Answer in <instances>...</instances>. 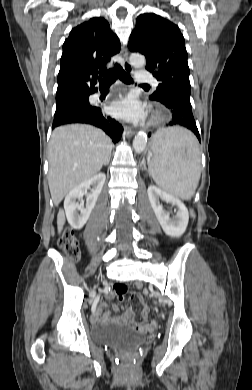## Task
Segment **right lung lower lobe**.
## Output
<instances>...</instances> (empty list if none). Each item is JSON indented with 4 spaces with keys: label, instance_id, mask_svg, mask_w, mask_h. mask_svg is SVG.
<instances>
[{
    "label": "right lung lower lobe",
    "instance_id": "right-lung-lower-lobe-1",
    "mask_svg": "<svg viewBox=\"0 0 252 390\" xmlns=\"http://www.w3.org/2000/svg\"><path fill=\"white\" fill-rule=\"evenodd\" d=\"M90 94L57 105L52 129L69 123L91 124L103 129L114 143L118 142L123 127L115 119L105 115L99 107L91 106Z\"/></svg>",
    "mask_w": 252,
    "mask_h": 390
}]
</instances>
